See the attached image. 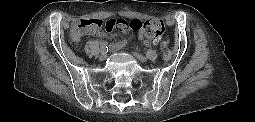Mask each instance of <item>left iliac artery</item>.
<instances>
[{
    "mask_svg": "<svg viewBox=\"0 0 255 122\" xmlns=\"http://www.w3.org/2000/svg\"><path fill=\"white\" fill-rule=\"evenodd\" d=\"M146 55H147V57L150 59V60H155L156 58H157V53L155 52V51H152V50H150V51H147L146 52Z\"/></svg>",
    "mask_w": 255,
    "mask_h": 122,
    "instance_id": "obj_1",
    "label": "left iliac artery"
}]
</instances>
